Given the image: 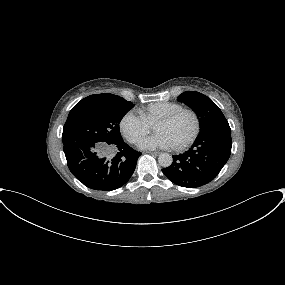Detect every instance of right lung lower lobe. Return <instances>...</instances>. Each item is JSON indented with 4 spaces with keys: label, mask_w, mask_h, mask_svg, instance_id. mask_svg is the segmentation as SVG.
<instances>
[{
    "label": "right lung lower lobe",
    "mask_w": 285,
    "mask_h": 285,
    "mask_svg": "<svg viewBox=\"0 0 285 285\" xmlns=\"http://www.w3.org/2000/svg\"><path fill=\"white\" fill-rule=\"evenodd\" d=\"M110 148L117 154L107 155ZM71 173L85 186L94 190L112 191L123 186L132 176L140 152L123 140L114 144L69 142L63 147Z\"/></svg>",
    "instance_id": "98d812e1"
}]
</instances>
